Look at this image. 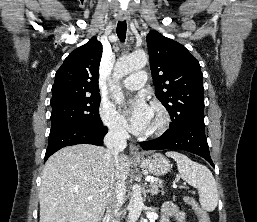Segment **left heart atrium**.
Instances as JSON below:
<instances>
[{
  "label": "left heart atrium",
  "instance_id": "left-heart-atrium-1",
  "mask_svg": "<svg viewBox=\"0 0 257 222\" xmlns=\"http://www.w3.org/2000/svg\"><path fill=\"white\" fill-rule=\"evenodd\" d=\"M152 119V108L143 96L136 97L128 106L126 113L127 128L134 134L148 131Z\"/></svg>",
  "mask_w": 257,
  "mask_h": 222
}]
</instances>
